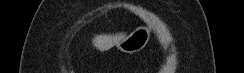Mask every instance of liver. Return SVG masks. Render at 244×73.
Masks as SVG:
<instances>
[{"mask_svg":"<svg viewBox=\"0 0 244 73\" xmlns=\"http://www.w3.org/2000/svg\"><path fill=\"white\" fill-rule=\"evenodd\" d=\"M125 38V34L119 33L115 35H96L93 39V45L101 52L110 49L119 41Z\"/></svg>","mask_w":244,"mask_h":73,"instance_id":"obj_1","label":"liver"}]
</instances>
